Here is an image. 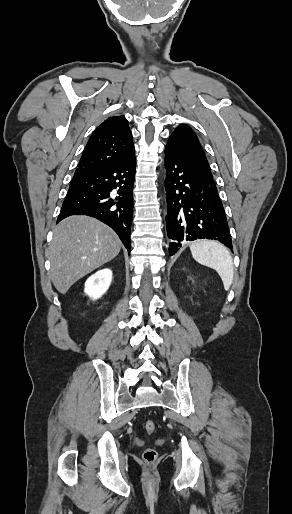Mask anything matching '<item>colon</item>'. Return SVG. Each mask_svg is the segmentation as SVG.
<instances>
[{
  "instance_id": "5ec220e1",
  "label": "colon",
  "mask_w": 292,
  "mask_h": 514,
  "mask_svg": "<svg viewBox=\"0 0 292 514\" xmlns=\"http://www.w3.org/2000/svg\"><path fill=\"white\" fill-rule=\"evenodd\" d=\"M144 428L147 434L151 435L156 430L155 422L152 419H147L144 423ZM158 457L157 451L152 447H147L143 451V460L147 463H153Z\"/></svg>"
}]
</instances>
